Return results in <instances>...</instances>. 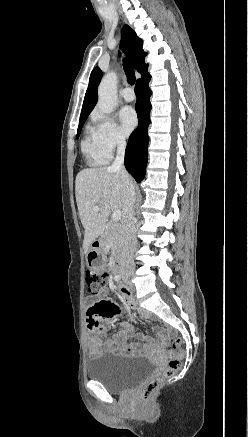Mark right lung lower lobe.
Instances as JSON below:
<instances>
[{
	"label": "right lung lower lobe",
	"mask_w": 248,
	"mask_h": 437,
	"mask_svg": "<svg viewBox=\"0 0 248 437\" xmlns=\"http://www.w3.org/2000/svg\"><path fill=\"white\" fill-rule=\"evenodd\" d=\"M150 74L147 72L138 79L135 86L137 102L135 109L138 115V127L132 132L125 151V167L127 171L140 183L145 176L147 165V149L149 137L147 134L150 124L151 104L149 102L151 90L148 83Z\"/></svg>",
	"instance_id": "right-lung-lower-lobe-1"
}]
</instances>
